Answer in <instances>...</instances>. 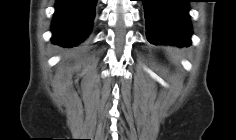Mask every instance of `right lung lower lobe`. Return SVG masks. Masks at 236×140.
<instances>
[{
  "instance_id": "obj_1",
  "label": "right lung lower lobe",
  "mask_w": 236,
  "mask_h": 140,
  "mask_svg": "<svg viewBox=\"0 0 236 140\" xmlns=\"http://www.w3.org/2000/svg\"><path fill=\"white\" fill-rule=\"evenodd\" d=\"M97 0H56L52 43L62 47L80 44L91 32Z\"/></svg>"
}]
</instances>
